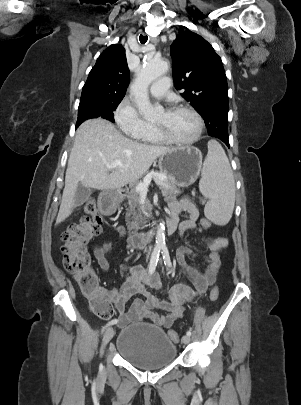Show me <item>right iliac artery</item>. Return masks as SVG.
<instances>
[{"instance_id": "obj_1", "label": "right iliac artery", "mask_w": 301, "mask_h": 405, "mask_svg": "<svg viewBox=\"0 0 301 405\" xmlns=\"http://www.w3.org/2000/svg\"><path fill=\"white\" fill-rule=\"evenodd\" d=\"M161 251V247L160 246H156L152 252V256H151V260H150V264H149V273L152 274L155 271V268L157 266V262H158V258H159V254ZM117 323V320L114 319L112 321H110L108 324H106L103 329H102V333L104 332V330L110 326V325H114Z\"/></svg>"}]
</instances>
